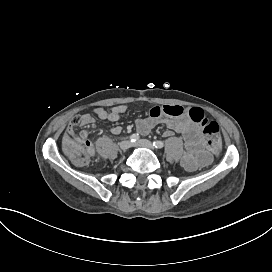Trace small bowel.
I'll list each match as a JSON object with an SVG mask.
<instances>
[{
	"label": "small bowel",
	"mask_w": 272,
	"mask_h": 272,
	"mask_svg": "<svg viewBox=\"0 0 272 272\" xmlns=\"http://www.w3.org/2000/svg\"><path fill=\"white\" fill-rule=\"evenodd\" d=\"M126 111V105L120 104L114 106L110 111L103 107H96L94 115L100 120L116 122L121 119ZM189 112L190 110L177 105L156 106L150 109L147 117L136 120V127L143 135L148 134L157 124L167 126L168 129L164 133L165 136H171L173 132L180 133L185 145L181 163L187 171L193 172L205 163L207 155L201 149L203 137L200 134V129L190 120ZM95 123L96 119L91 114L84 113L72 119L66 128V132L74 134L77 125L91 126ZM121 131L122 128L120 126L111 128V133L114 135L120 134ZM80 137H88L87 131H82Z\"/></svg>",
	"instance_id": "c3829d8e"
}]
</instances>
